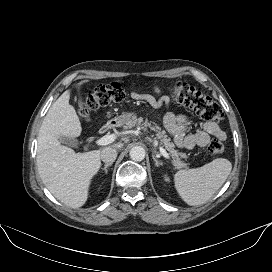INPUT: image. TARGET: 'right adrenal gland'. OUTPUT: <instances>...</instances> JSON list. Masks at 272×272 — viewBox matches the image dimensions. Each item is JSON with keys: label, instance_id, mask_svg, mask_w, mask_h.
Segmentation results:
<instances>
[{"label": "right adrenal gland", "instance_id": "1", "mask_svg": "<svg viewBox=\"0 0 272 272\" xmlns=\"http://www.w3.org/2000/svg\"><path fill=\"white\" fill-rule=\"evenodd\" d=\"M112 163L105 164L104 167L102 168L105 171V174H107V168L110 167Z\"/></svg>", "mask_w": 272, "mask_h": 272}]
</instances>
